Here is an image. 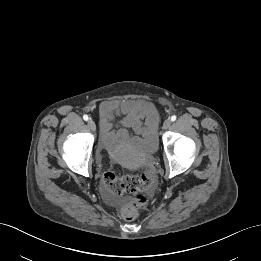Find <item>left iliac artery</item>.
Listing matches in <instances>:
<instances>
[{"label": "left iliac artery", "mask_w": 261, "mask_h": 261, "mask_svg": "<svg viewBox=\"0 0 261 261\" xmlns=\"http://www.w3.org/2000/svg\"><path fill=\"white\" fill-rule=\"evenodd\" d=\"M176 115L171 116V121L174 122L176 120Z\"/></svg>", "instance_id": "44dca946"}]
</instances>
